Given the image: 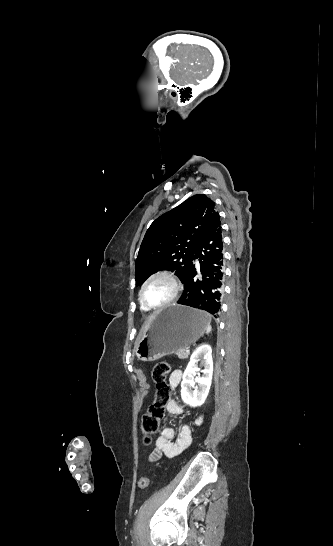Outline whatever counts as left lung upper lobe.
I'll use <instances>...</instances> for the list:
<instances>
[{
  "mask_svg": "<svg viewBox=\"0 0 333 546\" xmlns=\"http://www.w3.org/2000/svg\"><path fill=\"white\" fill-rule=\"evenodd\" d=\"M215 203L197 194L158 217L147 230L136 259V286L160 270L174 271L181 282L192 265L195 247L214 219Z\"/></svg>",
  "mask_w": 333,
  "mask_h": 546,
  "instance_id": "1",
  "label": "left lung upper lobe"
}]
</instances>
